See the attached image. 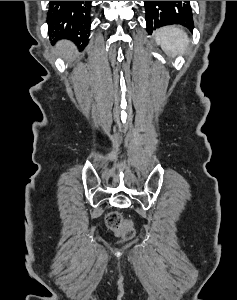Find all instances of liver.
Returning <instances> with one entry per match:
<instances>
[{
	"label": "liver",
	"instance_id": "1",
	"mask_svg": "<svg viewBox=\"0 0 237 300\" xmlns=\"http://www.w3.org/2000/svg\"><path fill=\"white\" fill-rule=\"evenodd\" d=\"M56 47L59 49V51H62L65 59H70L75 51V45L70 43V41H59Z\"/></svg>",
	"mask_w": 237,
	"mask_h": 300
}]
</instances>
